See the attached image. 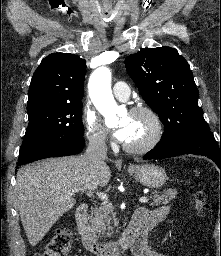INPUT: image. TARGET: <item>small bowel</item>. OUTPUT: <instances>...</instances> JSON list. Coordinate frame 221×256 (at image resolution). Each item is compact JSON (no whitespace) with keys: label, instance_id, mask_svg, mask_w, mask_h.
Segmentation results:
<instances>
[{"label":"small bowel","instance_id":"1","mask_svg":"<svg viewBox=\"0 0 221 256\" xmlns=\"http://www.w3.org/2000/svg\"><path fill=\"white\" fill-rule=\"evenodd\" d=\"M146 213L147 218L145 220V233L144 235L134 244L131 246V253L133 256H166L162 253L157 251L150 250L146 243V237L148 232L158 223L164 220L166 217L169 209L167 207L148 212L143 209Z\"/></svg>","mask_w":221,"mask_h":256}]
</instances>
